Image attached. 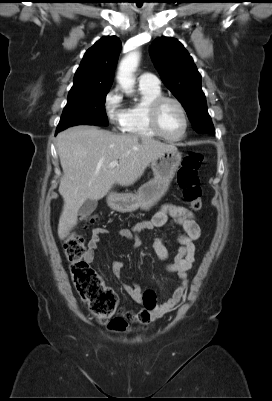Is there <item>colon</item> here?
<instances>
[{"label":"colon","instance_id":"5ec220e1","mask_svg":"<svg viewBox=\"0 0 272 401\" xmlns=\"http://www.w3.org/2000/svg\"><path fill=\"white\" fill-rule=\"evenodd\" d=\"M202 161L201 153H189L184 157L177 173V184L183 198L193 210H199L202 206L198 177ZM97 220L96 214L87 215L83 219L85 225L93 224ZM64 252L70 263L73 283L81 299L89 305L100 322H107L118 312V297L86 262L84 237L77 232L70 233L64 241ZM143 302L146 309L152 310L156 305L153 292L147 291Z\"/></svg>","mask_w":272,"mask_h":401}]
</instances>
